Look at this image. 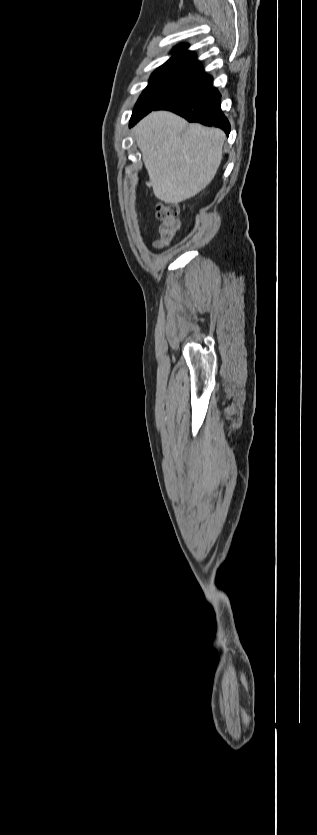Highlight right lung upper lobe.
<instances>
[{
  "mask_svg": "<svg viewBox=\"0 0 317 835\" xmlns=\"http://www.w3.org/2000/svg\"><path fill=\"white\" fill-rule=\"evenodd\" d=\"M181 52L176 53L173 57H171L165 64H171L180 61H187L195 59L196 55L192 52L186 51L188 45H179L177 47Z\"/></svg>",
  "mask_w": 317,
  "mask_h": 835,
  "instance_id": "1",
  "label": "right lung upper lobe"
}]
</instances>
